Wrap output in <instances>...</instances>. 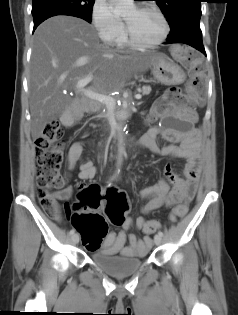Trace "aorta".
I'll use <instances>...</instances> for the list:
<instances>
[{
	"label": "aorta",
	"mask_w": 238,
	"mask_h": 315,
	"mask_svg": "<svg viewBox=\"0 0 238 315\" xmlns=\"http://www.w3.org/2000/svg\"><path fill=\"white\" fill-rule=\"evenodd\" d=\"M114 4V13L116 14H125L134 8L133 0H111ZM118 160L117 165L120 166L122 163V155L125 152L123 137L122 134L119 133L118 138Z\"/></svg>",
	"instance_id": "aorta-1"
}]
</instances>
